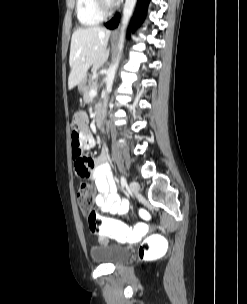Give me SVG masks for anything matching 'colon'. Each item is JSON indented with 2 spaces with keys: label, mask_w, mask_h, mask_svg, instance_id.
<instances>
[{
  "label": "colon",
  "mask_w": 247,
  "mask_h": 304,
  "mask_svg": "<svg viewBox=\"0 0 247 304\" xmlns=\"http://www.w3.org/2000/svg\"><path fill=\"white\" fill-rule=\"evenodd\" d=\"M82 161L83 159H77L78 164ZM93 199V189L87 184L81 185L77 192V202L82 212L87 215L90 230L99 234L100 238H125L128 236V231H131L135 238H144L148 229L147 224H156L154 214H148L147 210L139 211V216L143 221H147V224H119L105 219L92 210ZM118 244L119 246H138V239H119ZM167 244H169V237H164V233H150V237H146L143 241L139 254L143 259H164Z\"/></svg>",
  "instance_id": "1"
}]
</instances>
